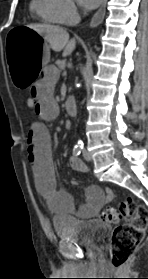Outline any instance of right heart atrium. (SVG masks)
I'll list each match as a JSON object with an SVG mask.
<instances>
[{
  "instance_id": "1",
  "label": "right heart atrium",
  "mask_w": 148,
  "mask_h": 279,
  "mask_svg": "<svg viewBox=\"0 0 148 279\" xmlns=\"http://www.w3.org/2000/svg\"><path fill=\"white\" fill-rule=\"evenodd\" d=\"M59 13L64 23H74L79 18V10L73 0H57Z\"/></svg>"
}]
</instances>
